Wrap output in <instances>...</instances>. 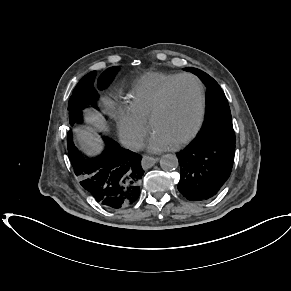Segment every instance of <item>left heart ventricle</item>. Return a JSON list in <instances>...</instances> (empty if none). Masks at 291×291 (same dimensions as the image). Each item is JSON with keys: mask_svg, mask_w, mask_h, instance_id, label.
Returning <instances> with one entry per match:
<instances>
[{"mask_svg": "<svg viewBox=\"0 0 291 291\" xmlns=\"http://www.w3.org/2000/svg\"><path fill=\"white\" fill-rule=\"evenodd\" d=\"M198 111V87L192 80H183L171 94L166 110L156 119L153 132L173 144L193 129Z\"/></svg>", "mask_w": 291, "mask_h": 291, "instance_id": "left-heart-ventricle-1", "label": "left heart ventricle"}]
</instances>
